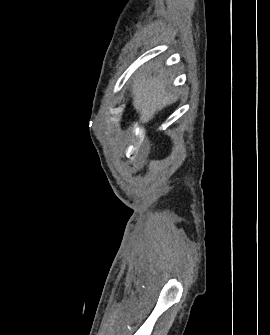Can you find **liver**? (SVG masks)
Wrapping results in <instances>:
<instances>
[{"label": "liver", "instance_id": "liver-1", "mask_svg": "<svg viewBox=\"0 0 270 335\" xmlns=\"http://www.w3.org/2000/svg\"><path fill=\"white\" fill-rule=\"evenodd\" d=\"M143 74L146 72H142L133 82L132 104L134 110L140 112L143 120L149 122L157 112L177 102L178 96L167 88L163 72H159L157 76H150V74L143 76Z\"/></svg>", "mask_w": 270, "mask_h": 335}]
</instances>
